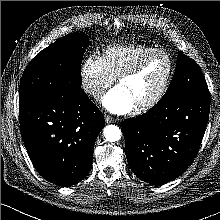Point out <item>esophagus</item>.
I'll use <instances>...</instances> for the list:
<instances>
[{"mask_svg": "<svg viewBox=\"0 0 220 220\" xmlns=\"http://www.w3.org/2000/svg\"><path fill=\"white\" fill-rule=\"evenodd\" d=\"M104 118L106 123H113L115 121V119L109 115H105Z\"/></svg>", "mask_w": 220, "mask_h": 220, "instance_id": "34e87169", "label": "esophagus"}]
</instances>
